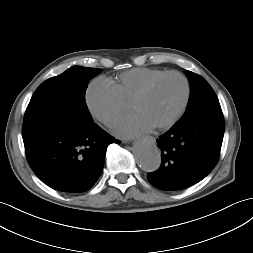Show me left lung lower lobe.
<instances>
[{"instance_id": "1", "label": "left lung lower lobe", "mask_w": 253, "mask_h": 253, "mask_svg": "<svg viewBox=\"0 0 253 253\" xmlns=\"http://www.w3.org/2000/svg\"><path fill=\"white\" fill-rule=\"evenodd\" d=\"M224 128V119L176 122L157 139L162 164L147 175L150 184L173 191L205 178L219 159Z\"/></svg>"}]
</instances>
